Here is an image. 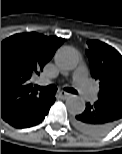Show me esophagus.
Instances as JSON below:
<instances>
[{
  "instance_id": "obj_1",
  "label": "esophagus",
  "mask_w": 122,
  "mask_h": 154,
  "mask_svg": "<svg viewBox=\"0 0 122 154\" xmlns=\"http://www.w3.org/2000/svg\"><path fill=\"white\" fill-rule=\"evenodd\" d=\"M59 95H60L62 98H64V99H66L67 97H69V96H70V94H69V93L64 92V91L59 92Z\"/></svg>"
}]
</instances>
